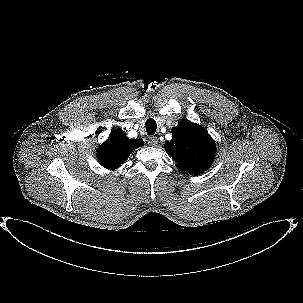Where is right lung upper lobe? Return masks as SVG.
Returning <instances> with one entry per match:
<instances>
[{
    "label": "right lung upper lobe",
    "mask_w": 303,
    "mask_h": 303,
    "mask_svg": "<svg viewBox=\"0 0 303 303\" xmlns=\"http://www.w3.org/2000/svg\"><path fill=\"white\" fill-rule=\"evenodd\" d=\"M143 144L141 139H128L121 130H115L98 149L97 158L102 166L115 170L127 160L134 149Z\"/></svg>",
    "instance_id": "cb5924a9"
}]
</instances>
